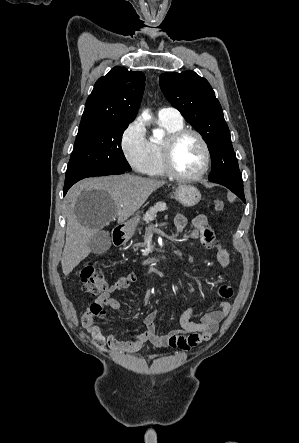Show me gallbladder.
I'll use <instances>...</instances> for the list:
<instances>
[{"mask_svg": "<svg viewBox=\"0 0 299 443\" xmlns=\"http://www.w3.org/2000/svg\"><path fill=\"white\" fill-rule=\"evenodd\" d=\"M111 236L107 231H97L89 241V247L94 254H102L109 250Z\"/></svg>", "mask_w": 299, "mask_h": 443, "instance_id": "1", "label": "gallbladder"}]
</instances>
